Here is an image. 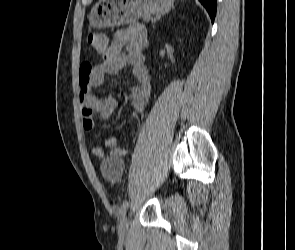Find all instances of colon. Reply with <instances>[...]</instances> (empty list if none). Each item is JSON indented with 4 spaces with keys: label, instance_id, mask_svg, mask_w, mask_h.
<instances>
[{
    "label": "colon",
    "instance_id": "1",
    "mask_svg": "<svg viewBox=\"0 0 295 250\" xmlns=\"http://www.w3.org/2000/svg\"><path fill=\"white\" fill-rule=\"evenodd\" d=\"M106 44L105 36L98 33H91L86 38V45L94 49L96 52L100 51Z\"/></svg>",
    "mask_w": 295,
    "mask_h": 250
}]
</instances>
